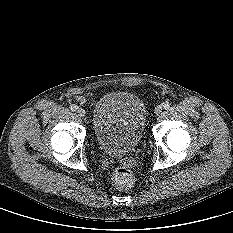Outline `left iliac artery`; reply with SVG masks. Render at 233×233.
Segmentation results:
<instances>
[{
	"label": "left iliac artery",
	"instance_id": "1",
	"mask_svg": "<svg viewBox=\"0 0 233 233\" xmlns=\"http://www.w3.org/2000/svg\"><path fill=\"white\" fill-rule=\"evenodd\" d=\"M169 107H170V104L168 102H166V103L163 104V108L164 109H169Z\"/></svg>",
	"mask_w": 233,
	"mask_h": 233
}]
</instances>
